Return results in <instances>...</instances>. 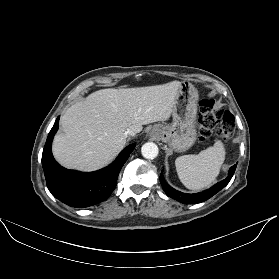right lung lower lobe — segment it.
<instances>
[{
    "label": "right lung lower lobe",
    "instance_id": "1",
    "mask_svg": "<svg viewBox=\"0 0 279 279\" xmlns=\"http://www.w3.org/2000/svg\"><path fill=\"white\" fill-rule=\"evenodd\" d=\"M58 122L59 117L48 134L42 154V166L49 191L58 200L76 208L92 206L106 200L115 189L119 172L135 145L126 147L111 165L101 170L89 173L68 170L56 162L51 152Z\"/></svg>",
    "mask_w": 279,
    "mask_h": 279
}]
</instances>
